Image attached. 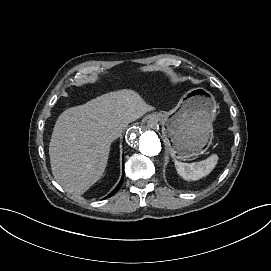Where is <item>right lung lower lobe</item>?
<instances>
[{"instance_id": "right-lung-lower-lobe-1", "label": "right lung lower lobe", "mask_w": 271, "mask_h": 271, "mask_svg": "<svg viewBox=\"0 0 271 271\" xmlns=\"http://www.w3.org/2000/svg\"><path fill=\"white\" fill-rule=\"evenodd\" d=\"M123 177H124V175H123ZM123 177H122L121 181L119 182V184L117 185V187L106 198L113 196L119 190V188L121 187L122 182H123Z\"/></svg>"}]
</instances>
